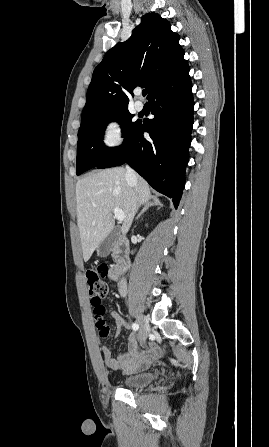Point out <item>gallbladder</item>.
Instances as JSON below:
<instances>
[{
    "mask_svg": "<svg viewBox=\"0 0 269 447\" xmlns=\"http://www.w3.org/2000/svg\"><path fill=\"white\" fill-rule=\"evenodd\" d=\"M118 229L115 227V229H112L111 233H109L108 237L100 243L98 249H97V255H101V257H106V255H109L110 251H112L116 241H117V233Z\"/></svg>",
    "mask_w": 269,
    "mask_h": 447,
    "instance_id": "gallbladder-1",
    "label": "gallbladder"
}]
</instances>
